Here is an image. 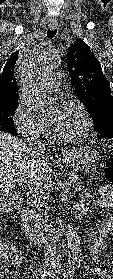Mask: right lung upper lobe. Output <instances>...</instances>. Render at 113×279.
Segmentation results:
<instances>
[{"label":"right lung upper lobe","instance_id":"obj_1","mask_svg":"<svg viewBox=\"0 0 113 279\" xmlns=\"http://www.w3.org/2000/svg\"><path fill=\"white\" fill-rule=\"evenodd\" d=\"M18 53L19 51L11 55L0 74V109L17 105L18 102L17 81L13 73Z\"/></svg>","mask_w":113,"mask_h":279}]
</instances>
